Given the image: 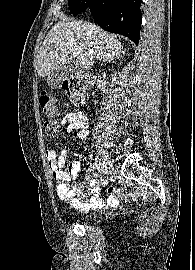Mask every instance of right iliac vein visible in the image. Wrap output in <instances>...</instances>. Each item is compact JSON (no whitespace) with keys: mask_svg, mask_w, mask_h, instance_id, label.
<instances>
[{"mask_svg":"<svg viewBox=\"0 0 195 270\" xmlns=\"http://www.w3.org/2000/svg\"><path fill=\"white\" fill-rule=\"evenodd\" d=\"M108 168H109V160L107 155L104 153L102 155V160L98 168L100 175L106 174Z\"/></svg>","mask_w":195,"mask_h":270,"instance_id":"obj_1","label":"right iliac vein"}]
</instances>
